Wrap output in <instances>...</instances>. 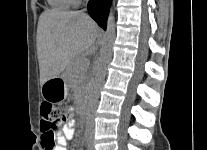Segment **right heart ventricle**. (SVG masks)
<instances>
[{
  "label": "right heart ventricle",
  "instance_id": "obj_1",
  "mask_svg": "<svg viewBox=\"0 0 207 150\" xmlns=\"http://www.w3.org/2000/svg\"><path fill=\"white\" fill-rule=\"evenodd\" d=\"M78 0H48L49 5L55 10H66L77 4Z\"/></svg>",
  "mask_w": 207,
  "mask_h": 150
}]
</instances>
